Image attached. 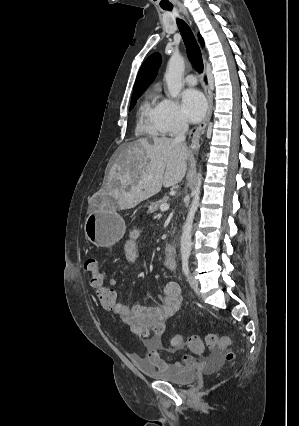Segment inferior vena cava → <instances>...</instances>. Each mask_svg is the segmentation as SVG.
<instances>
[{
  "mask_svg": "<svg viewBox=\"0 0 299 426\" xmlns=\"http://www.w3.org/2000/svg\"><path fill=\"white\" fill-rule=\"evenodd\" d=\"M188 123L187 121H182L181 123V127H180V132L178 133V135L174 138V142L175 143H179V144H184L185 142V133L188 130Z\"/></svg>",
  "mask_w": 299,
  "mask_h": 426,
  "instance_id": "obj_1",
  "label": "inferior vena cava"
}]
</instances>
